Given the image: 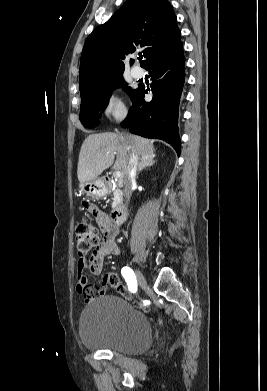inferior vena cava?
<instances>
[{
  "label": "inferior vena cava",
  "mask_w": 267,
  "mask_h": 391,
  "mask_svg": "<svg viewBox=\"0 0 267 391\" xmlns=\"http://www.w3.org/2000/svg\"><path fill=\"white\" fill-rule=\"evenodd\" d=\"M129 160L126 167V174L124 176V190L127 198V202L129 201V196L132 193V185L135 182L137 167H138V154L134 151L133 148L130 147Z\"/></svg>",
  "instance_id": "obj_1"
}]
</instances>
